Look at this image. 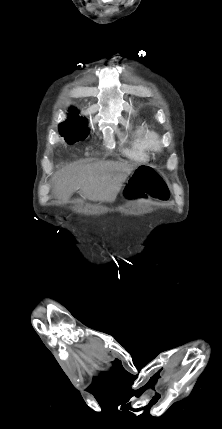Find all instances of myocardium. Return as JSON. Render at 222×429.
I'll use <instances>...</instances> for the list:
<instances>
[{
    "label": "myocardium",
    "instance_id": "myocardium-1",
    "mask_svg": "<svg viewBox=\"0 0 222 429\" xmlns=\"http://www.w3.org/2000/svg\"><path fill=\"white\" fill-rule=\"evenodd\" d=\"M147 147L150 151L158 153L163 149V143L158 133L150 132L147 137Z\"/></svg>",
    "mask_w": 222,
    "mask_h": 429
}]
</instances>
